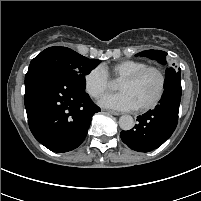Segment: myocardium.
I'll return each instance as SVG.
<instances>
[{
    "mask_svg": "<svg viewBox=\"0 0 201 201\" xmlns=\"http://www.w3.org/2000/svg\"><path fill=\"white\" fill-rule=\"evenodd\" d=\"M149 71H153L158 75L159 88H158L157 94L150 102L137 107V109L140 111H146V110H149V109L155 107L162 99L165 89H166V76H165L164 71L158 66L147 65V66L123 77L120 80V81H124V82H134V81L138 80L142 75H144L145 73H147Z\"/></svg>",
    "mask_w": 201,
    "mask_h": 201,
    "instance_id": "obj_1",
    "label": "myocardium"
}]
</instances>
